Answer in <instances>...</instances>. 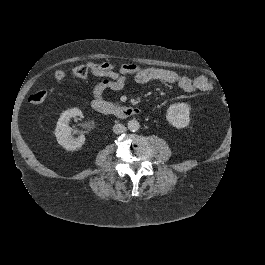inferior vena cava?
I'll return each mask as SVG.
<instances>
[{
    "label": "inferior vena cava",
    "instance_id": "602c4592",
    "mask_svg": "<svg viewBox=\"0 0 265 265\" xmlns=\"http://www.w3.org/2000/svg\"><path fill=\"white\" fill-rule=\"evenodd\" d=\"M113 132L115 134H121L126 132V127L123 124H115L113 127Z\"/></svg>",
    "mask_w": 265,
    "mask_h": 265
}]
</instances>
